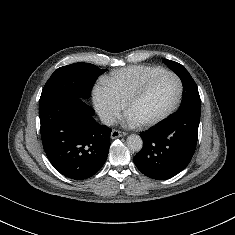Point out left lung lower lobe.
Instances as JSON below:
<instances>
[{"label": "left lung lower lobe", "instance_id": "1", "mask_svg": "<svg viewBox=\"0 0 235 235\" xmlns=\"http://www.w3.org/2000/svg\"><path fill=\"white\" fill-rule=\"evenodd\" d=\"M200 112L176 113L157 126L141 132L142 150L134 157L146 176L165 180L182 171L191 161L198 136Z\"/></svg>", "mask_w": 235, "mask_h": 235}]
</instances>
